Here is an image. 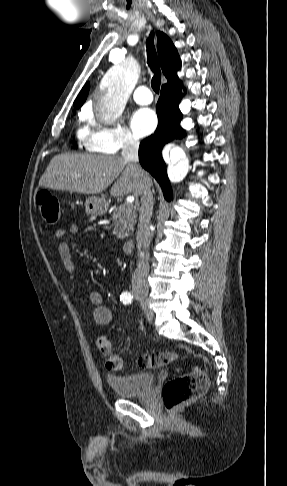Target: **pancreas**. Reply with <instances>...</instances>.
Returning a JSON list of instances; mask_svg holds the SVG:
<instances>
[{"label":"pancreas","mask_w":287,"mask_h":486,"mask_svg":"<svg viewBox=\"0 0 287 486\" xmlns=\"http://www.w3.org/2000/svg\"><path fill=\"white\" fill-rule=\"evenodd\" d=\"M137 215L133 211V205L122 204L114 209L111 219L114 224V234L120 239H124L134 229Z\"/></svg>","instance_id":"1"}]
</instances>
